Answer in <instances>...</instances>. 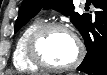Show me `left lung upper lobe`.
Wrapping results in <instances>:
<instances>
[{"label": "left lung upper lobe", "mask_w": 107, "mask_h": 75, "mask_svg": "<svg viewBox=\"0 0 107 75\" xmlns=\"http://www.w3.org/2000/svg\"><path fill=\"white\" fill-rule=\"evenodd\" d=\"M73 0H23L18 18L15 23V32L18 31L29 19L34 17L43 7L53 8L70 15L71 22L81 32L88 22V15L73 13Z\"/></svg>", "instance_id": "5c2ea615"}]
</instances>
